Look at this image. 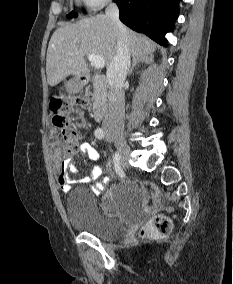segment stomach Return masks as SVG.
Here are the masks:
<instances>
[{
    "label": "stomach",
    "instance_id": "obj_1",
    "mask_svg": "<svg viewBox=\"0 0 233 284\" xmlns=\"http://www.w3.org/2000/svg\"><path fill=\"white\" fill-rule=\"evenodd\" d=\"M67 87L73 92H77L79 90V86L73 83H68Z\"/></svg>",
    "mask_w": 233,
    "mask_h": 284
}]
</instances>
